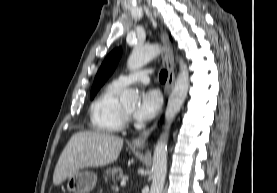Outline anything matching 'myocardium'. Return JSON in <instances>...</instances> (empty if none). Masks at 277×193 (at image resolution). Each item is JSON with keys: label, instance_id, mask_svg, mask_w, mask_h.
Segmentation results:
<instances>
[{"label": "myocardium", "instance_id": "1", "mask_svg": "<svg viewBox=\"0 0 277 193\" xmlns=\"http://www.w3.org/2000/svg\"><path fill=\"white\" fill-rule=\"evenodd\" d=\"M122 113H123L125 121L129 120L131 113L126 111L124 107H122Z\"/></svg>", "mask_w": 277, "mask_h": 193}]
</instances>
